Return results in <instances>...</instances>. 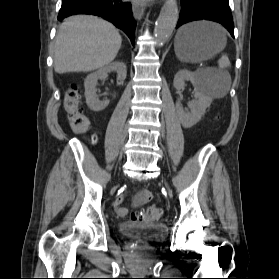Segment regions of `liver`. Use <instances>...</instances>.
I'll return each mask as SVG.
<instances>
[{"mask_svg": "<svg viewBox=\"0 0 279 279\" xmlns=\"http://www.w3.org/2000/svg\"><path fill=\"white\" fill-rule=\"evenodd\" d=\"M121 43L111 23L91 15L69 17L55 39L54 70L63 74L102 68L115 59Z\"/></svg>", "mask_w": 279, "mask_h": 279, "instance_id": "1", "label": "liver"}]
</instances>
